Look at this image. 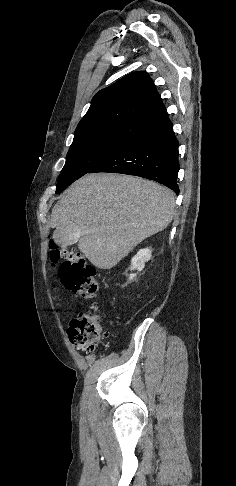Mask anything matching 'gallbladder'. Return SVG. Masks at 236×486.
Instances as JSON below:
<instances>
[{
	"mask_svg": "<svg viewBox=\"0 0 236 486\" xmlns=\"http://www.w3.org/2000/svg\"><path fill=\"white\" fill-rule=\"evenodd\" d=\"M76 233L77 229L73 224L66 227L59 226L56 228L53 238L57 245L64 247L74 243Z\"/></svg>",
	"mask_w": 236,
	"mask_h": 486,
	"instance_id": "obj_1",
	"label": "gallbladder"
}]
</instances>
